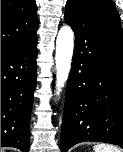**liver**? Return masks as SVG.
Returning a JSON list of instances; mask_svg holds the SVG:
<instances>
[{"instance_id": "obj_1", "label": "liver", "mask_w": 123, "mask_h": 152, "mask_svg": "<svg viewBox=\"0 0 123 152\" xmlns=\"http://www.w3.org/2000/svg\"><path fill=\"white\" fill-rule=\"evenodd\" d=\"M4 151V149H1V152H3Z\"/></svg>"}]
</instances>
